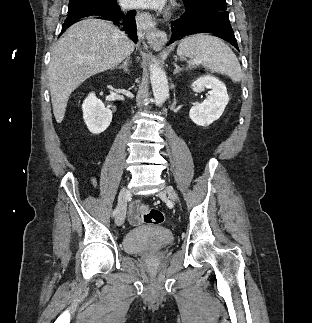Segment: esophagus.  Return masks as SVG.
Here are the masks:
<instances>
[{
    "mask_svg": "<svg viewBox=\"0 0 312 323\" xmlns=\"http://www.w3.org/2000/svg\"><path fill=\"white\" fill-rule=\"evenodd\" d=\"M136 23L139 37H145L152 48L161 49L167 42L166 33L157 29L156 22L149 12L138 11Z\"/></svg>",
    "mask_w": 312,
    "mask_h": 323,
    "instance_id": "obj_1",
    "label": "esophagus"
}]
</instances>
